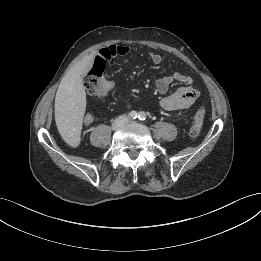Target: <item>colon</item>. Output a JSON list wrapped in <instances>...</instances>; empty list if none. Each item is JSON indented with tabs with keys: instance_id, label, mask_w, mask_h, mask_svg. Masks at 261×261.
Instances as JSON below:
<instances>
[{
	"instance_id": "1",
	"label": "colon",
	"mask_w": 261,
	"mask_h": 261,
	"mask_svg": "<svg viewBox=\"0 0 261 261\" xmlns=\"http://www.w3.org/2000/svg\"><path fill=\"white\" fill-rule=\"evenodd\" d=\"M104 69V62L95 60L90 72L85 79V87L91 97H101L109 93L106 79L103 77ZM204 117L205 108L203 106H199L195 111L194 121L188 130L190 137L195 138L199 135Z\"/></svg>"
}]
</instances>
